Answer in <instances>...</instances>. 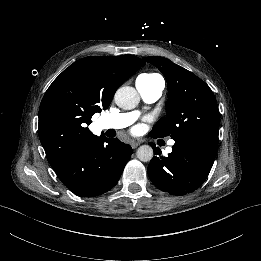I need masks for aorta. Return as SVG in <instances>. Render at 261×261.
<instances>
[{"label":"aorta","instance_id":"762f6f07","mask_svg":"<svg viewBox=\"0 0 261 261\" xmlns=\"http://www.w3.org/2000/svg\"><path fill=\"white\" fill-rule=\"evenodd\" d=\"M115 104L124 110L134 108L139 102V95L135 88L124 86L119 88L114 95ZM137 158L142 162H149L153 158V148L142 145L137 149Z\"/></svg>","mask_w":261,"mask_h":261}]
</instances>
